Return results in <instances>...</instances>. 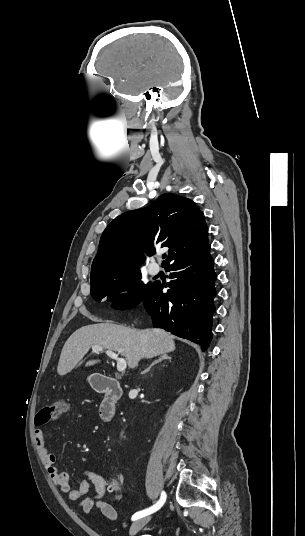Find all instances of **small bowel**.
<instances>
[{"instance_id":"obj_1","label":"small bowel","mask_w":305,"mask_h":536,"mask_svg":"<svg viewBox=\"0 0 305 536\" xmlns=\"http://www.w3.org/2000/svg\"><path fill=\"white\" fill-rule=\"evenodd\" d=\"M35 444L41 458V461L53 482L68 495L72 501H79V506L85 513H91L94 509H98L106 518L116 520L118 513L116 508L109 502L104 500V496L109 490L107 483L103 477L91 470L84 472V478L77 489H71L69 483V474L60 471L56 466L57 458L51 453L46 446V438L42 429L34 431ZM90 484L94 486L95 494L87 496Z\"/></svg>"}]
</instances>
